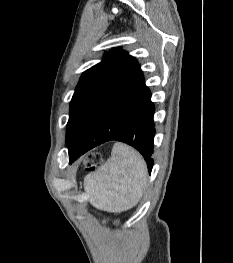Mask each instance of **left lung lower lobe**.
Returning a JSON list of instances; mask_svg holds the SVG:
<instances>
[{"label": "left lung lower lobe", "instance_id": "1", "mask_svg": "<svg viewBox=\"0 0 233 263\" xmlns=\"http://www.w3.org/2000/svg\"><path fill=\"white\" fill-rule=\"evenodd\" d=\"M154 104L139 66L114 96L97 120L84 145L68 146L72 163L88 150L110 140L127 143L145 158L148 170L153 167Z\"/></svg>", "mask_w": 233, "mask_h": 263}]
</instances>
